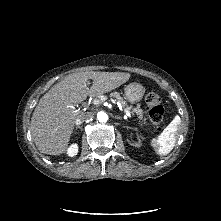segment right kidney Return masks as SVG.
I'll use <instances>...</instances> for the list:
<instances>
[{
    "instance_id": "right-kidney-1",
    "label": "right kidney",
    "mask_w": 221,
    "mask_h": 221,
    "mask_svg": "<svg viewBox=\"0 0 221 221\" xmlns=\"http://www.w3.org/2000/svg\"><path fill=\"white\" fill-rule=\"evenodd\" d=\"M77 153H78V145L77 144H72L67 150V154L70 157L76 156Z\"/></svg>"
}]
</instances>
